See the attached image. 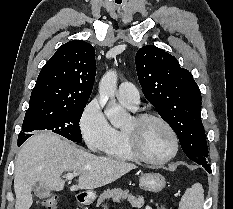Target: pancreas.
Wrapping results in <instances>:
<instances>
[{"mask_svg": "<svg viewBox=\"0 0 233 209\" xmlns=\"http://www.w3.org/2000/svg\"><path fill=\"white\" fill-rule=\"evenodd\" d=\"M110 198L113 199L114 201L127 199L128 202L132 205V207H135V208H141L144 204L141 197L133 196L132 194L129 193L128 190H121L117 188V189L104 191L99 196L96 207H99L105 202V200H109Z\"/></svg>", "mask_w": 233, "mask_h": 209, "instance_id": "cf45deb5", "label": "pancreas"}]
</instances>
